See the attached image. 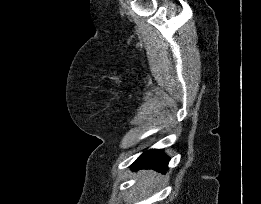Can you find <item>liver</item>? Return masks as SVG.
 Wrapping results in <instances>:
<instances>
[{
    "instance_id": "6515ba94",
    "label": "liver",
    "mask_w": 261,
    "mask_h": 204,
    "mask_svg": "<svg viewBox=\"0 0 261 204\" xmlns=\"http://www.w3.org/2000/svg\"><path fill=\"white\" fill-rule=\"evenodd\" d=\"M138 186L140 188L152 187L158 180V174L154 171H144L139 173Z\"/></svg>"
}]
</instances>
